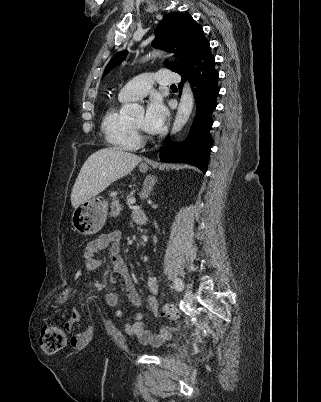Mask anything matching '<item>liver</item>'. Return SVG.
Wrapping results in <instances>:
<instances>
[{
	"instance_id": "obj_1",
	"label": "liver",
	"mask_w": 321,
	"mask_h": 402,
	"mask_svg": "<svg viewBox=\"0 0 321 402\" xmlns=\"http://www.w3.org/2000/svg\"><path fill=\"white\" fill-rule=\"evenodd\" d=\"M141 157L116 147L100 149L83 164L71 193L74 208L95 197L112 182L131 172Z\"/></svg>"
}]
</instances>
